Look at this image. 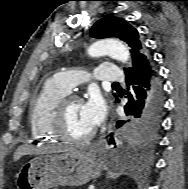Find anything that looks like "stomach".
I'll return each instance as SVG.
<instances>
[{
  "label": "stomach",
  "mask_w": 188,
  "mask_h": 189,
  "mask_svg": "<svg viewBox=\"0 0 188 189\" xmlns=\"http://www.w3.org/2000/svg\"><path fill=\"white\" fill-rule=\"evenodd\" d=\"M95 154L64 152L35 157L17 174V189H49L57 185L81 186L100 176Z\"/></svg>",
  "instance_id": "1"
}]
</instances>
